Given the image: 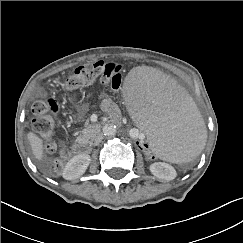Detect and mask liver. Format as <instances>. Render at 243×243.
Returning <instances> with one entry per match:
<instances>
[{"label":"liver","mask_w":243,"mask_h":243,"mask_svg":"<svg viewBox=\"0 0 243 243\" xmlns=\"http://www.w3.org/2000/svg\"><path fill=\"white\" fill-rule=\"evenodd\" d=\"M27 139L30 143L34 157L41 161L44 157L43 140L33 132L27 133Z\"/></svg>","instance_id":"liver-1"}]
</instances>
